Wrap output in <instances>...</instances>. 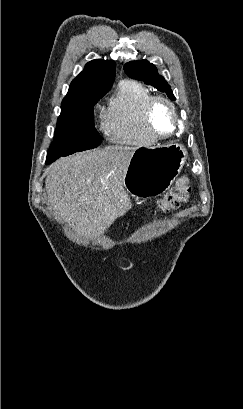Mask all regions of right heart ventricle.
Here are the masks:
<instances>
[{"label":"right heart ventricle","mask_w":243,"mask_h":409,"mask_svg":"<svg viewBox=\"0 0 243 409\" xmlns=\"http://www.w3.org/2000/svg\"><path fill=\"white\" fill-rule=\"evenodd\" d=\"M152 96L142 83L122 80L110 99L105 113L104 129L113 142L147 146L155 143L145 128L143 110Z\"/></svg>","instance_id":"obj_1"}]
</instances>
